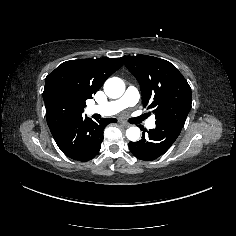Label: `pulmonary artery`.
<instances>
[{"instance_id":"1","label":"pulmonary artery","mask_w":236,"mask_h":236,"mask_svg":"<svg viewBox=\"0 0 236 236\" xmlns=\"http://www.w3.org/2000/svg\"><path fill=\"white\" fill-rule=\"evenodd\" d=\"M140 95L134 87H129L126 92L117 100L102 104H91L87 111L91 114L97 113L102 116H114L127 107L134 106L139 101ZM154 127V122L149 124V128Z\"/></svg>"}]
</instances>
